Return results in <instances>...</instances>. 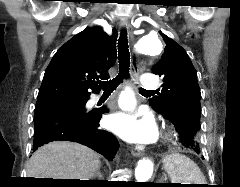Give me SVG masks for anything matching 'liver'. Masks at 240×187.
Wrapping results in <instances>:
<instances>
[{
    "instance_id": "1",
    "label": "liver",
    "mask_w": 240,
    "mask_h": 187,
    "mask_svg": "<svg viewBox=\"0 0 240 187\" xmlns=\"http://www.w3.org/2000/svg\"><path fill=\"white\" fill-rule=\"evenodd\" d=\"M99 156L90 148L69 141L40 147L30 158L27 178L90 180L100 168Z\"/></svg>"
}]
</instances>
